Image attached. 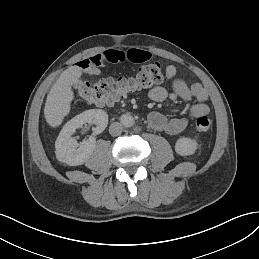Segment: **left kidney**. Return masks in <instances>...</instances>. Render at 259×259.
<instances>
[{"label":"left kidney","mask_w":259,"mask_h":259,"mask_svg":"<svg viewBox=\"0 0 259 259\" xmlns=\"http://www.w3.org/2000/svg\"><path fill=\"white\" fill-rule=\"evenodd\" d=\"M198 144L191 138H180L175 144V151L181 156L192 155L195 153Z\"/></svg>","instance_id":"obj_1"}]
</instances>
